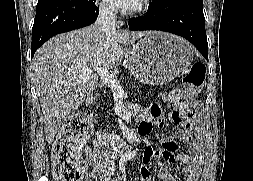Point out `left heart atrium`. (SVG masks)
Masks as SVG:
<instances>
[{
    "label": "left heart atrium",
    "instance_id": "1",
    "mask_svg": "<svg viewBox=\"0 0 253 181\" xmlns=\"http://www.w3.org/2000/svg\"><path fill=\"white\" fill-rule=\"evenodd\" d=\"M113 2L123 10H133L139 6L141 0H113Z\"/></svg>",
    "mask_w": 253,
    "mask_h": 181
}]
</instances>
